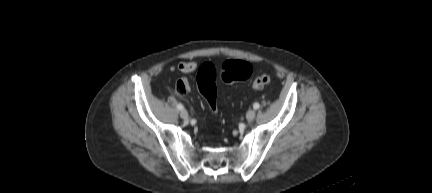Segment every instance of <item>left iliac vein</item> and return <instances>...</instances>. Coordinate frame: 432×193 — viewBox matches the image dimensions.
Returning a JSON list of instances; mask_svg holds the SVG:
<instances>
[{
	"label": "left iliac vein",
	"mask_w": 432,
	"mask_h": 193,
	"mask_svg": "<svg viewBox=\"0 0 432 193\" xmlns=\"http://www.w3.org/2000/svg\"><path fill=\"white\" fill-rule=\"evenodd\" d=\"M256 112L253 109L248 110L246 113V118L248 121H252L255 118Z\"/></svg>",
	"instance_id": "obj_1"
}]
</instances>
